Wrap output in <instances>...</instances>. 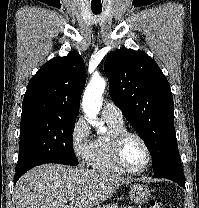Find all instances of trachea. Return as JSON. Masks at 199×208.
I'll return each instance as SVG.
<instances>
[{
	"label": "trachea",
	"mask_w": 199,
	"mask_h": 208,
	"mask_svg": "<svg viewBox=\"0 0 199 208\" xmlns=\"http://www.w3.org/2000/svg\"><path fill=\"white\" fill-rule=\"evenodd\" d=\"M92 12L94 14H100L102 12V9H93Z\"/></svg>",
	"instance_id": "trachea-1"
}]
</instances>
